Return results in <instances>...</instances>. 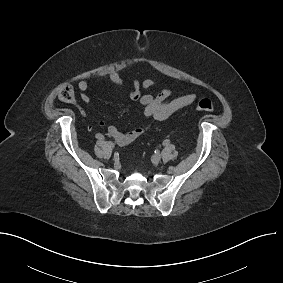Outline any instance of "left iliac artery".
I'll use <instances>...</instances> for the list:
<instances>
[{
	"instance_id": "1",
	"label": "left iliac artery",
	"mask_w": 283,
	"mask_h": 283,
	"mask_svg": "<svg viewBox=\"0 0 283 283\" xmlns=\"http://www.w3.org/2000/svg\"><path fill=\"white\" fill-rule=\"evenodd\" d=\"M169 143H170V140H168V139L163 141V145H165V146L169 145Z\"/></svg>"
}]
</instances>
